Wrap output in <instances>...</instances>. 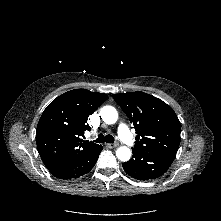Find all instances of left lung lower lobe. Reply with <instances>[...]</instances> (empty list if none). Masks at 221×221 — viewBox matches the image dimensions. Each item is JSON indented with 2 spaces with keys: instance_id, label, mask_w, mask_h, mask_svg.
<instances>
[{
  "instance_id": "1",
  "label": "left lung lower lobe",
  "mask_w": 221,
  "mask_h": 221,
  "mask_svg": "<svg viewBox=\"0 0 221 221\" xmlns=\"http://www.w3.org/2000/svg\"><path fill=\"white\" fill-rule=\"evenodd\" d=\"M133 156L123 163L125 172L138 180H152L160 177L172 164V158L132 149Z\"/></svg>"
}]
</instances>
